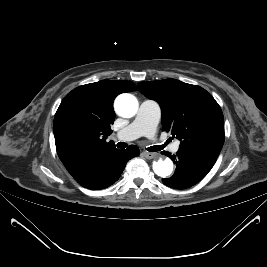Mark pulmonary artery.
I'll use <instances>...</instances> for the list:
<instances>
[{
  "mask_svg": "<svg viewBox=\"0 0 267 267\" xmlns=\"http://www.w3.org/2000/svg\"><path fill=\"white\" fill-rule=\"evenodd\" d=\"M160 118L159 104L152 100H144L140 104L134 120L127 127L118 131L115 137L122 141L134 140L141 136L153 138ZM170 150L176 153L179 150V142L173 143Z\"/></svg>",
  "mask_w": 267,
  "mask_h": 267,
  "instance_id": "obj_1",
  "label": "pulmonary artery"
}]
</instances>
